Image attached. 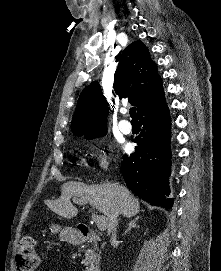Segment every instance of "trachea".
Instances as JSON below:
<instances>
[{"label": "trachea", "mask_w": 221, "mask_h": 271, "mask_svg": "<svg viewBox=\"0 0 221 271\" xmlns=\"http://www.w3.org/2000/svg\"><path fill=\"white\" fill-rule=\"evenodd\" d=\"M129 113H130V116L132 118V121H138V116L136 114V108L135 107L130 108Z\"/></svg>", "instance_id": "3493384b"}]
</instances>
